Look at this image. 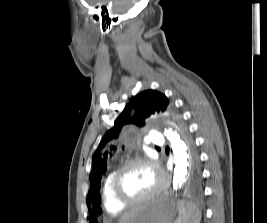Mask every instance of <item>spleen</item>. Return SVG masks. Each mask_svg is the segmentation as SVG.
Returning <instances> with one entry per match:
<instances>
[{
	"mask_svg": "<svg viewBox=\"0 0 267 223\" xmlns=\"http://www.w3.org/2000/svg\"><path fill=\"white\" fill-rule=\"evenodd\" d=\"M177 208L178 218L175 223H200L202 213L196 204L180 200L178 201Z\"/></svg>",
	"mask_w": 267,
	"mask_h": 223,
	"instance_id": "3e777b00",
	"label": "spleen"
}]
</instances>
